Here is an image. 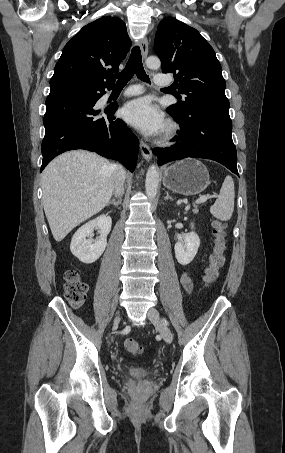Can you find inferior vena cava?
Here are the masks:
<instances>
[{
	"label": "inferior vena cava",
	"instance_id": "1",
	"mask_svg": "<svg viewBox=\"0 0 285 453\" xmlns=\"http://www.w3.org/2000/svg\"><path fill=\"white\" fill-rule=\"evenodd\" d=\"M114 169L116 170V178L114 184V193L116 196H120L124 193L123 183L125 180V170L120 164H113Z\"/></svg>",
	"mask_w": 285,
	"mask_h": 453
}]
</instances>
